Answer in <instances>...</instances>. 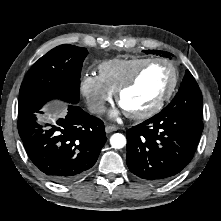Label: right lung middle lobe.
<instances>
[{"label": "right lung middle lobe", "mask_w": 221, "mask_h": 221, "mask_svg": "<svg viewBox=\"0 0 221 221\" xmlns=\"http://www.w3.org/2000/svg\"><path fill=\"white\" fill-rule=\"evenodd\" d=\"M86 48L60 45L41 57L29 70L19 91L18 119L39 112L53 99L79 102L82 63Z\"/></svg>", "instance_id": "dd1d6c3e"}]
</instances>
